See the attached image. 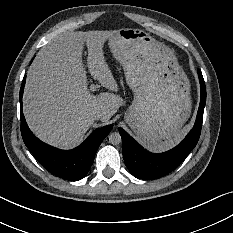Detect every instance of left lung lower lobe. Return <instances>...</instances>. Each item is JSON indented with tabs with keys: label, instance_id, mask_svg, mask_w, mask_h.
I'll return each instance as SVG.
<instances>
[{
	"label": "left lung lower lobe",
	"instance_id": "obj_1",
	"mask_svg": "<svg viewBox=\"0 0 233 233\" xmlns=\"http://www.w3.org/2000/svg\"><path fill=\"white\" fill-rule=\"evenodd\" d=\"M201 99L193 129L175 148L159 154L146 151L124 129L119 128L123 144V158L129 171L139 179H156L167 175L177 168L196 146L202 126L203 112L206 104V87L198 69Z\"/></svg>",
	"mask_w": 233,
	"mask_h": 233
}]
</instances>
